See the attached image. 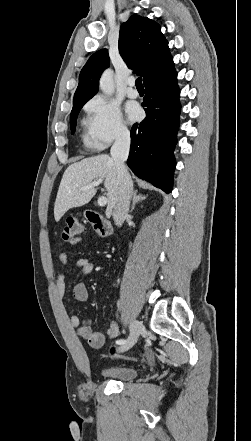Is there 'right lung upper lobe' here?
<instances>
[{"instance_id": "cb5924a9", "label": "right lung upper lobe", "mask_w": 251, "mask_h": 441, "mask_svg": "<svg viewBox=\"0 0 251 441\" xmlns=\"http://www.w3.org/2000/svg\"><path fill=\"white\" fill-rule=\"evenodd\" d=\"M119 52L128 68L142 76L144 83L174 65L160 26L139 15H132L121 25ZM108 66L107 49L95 52L81 70L73 101L92 98L98 91L101 73Z\"/></svg>"}]
</instances>
